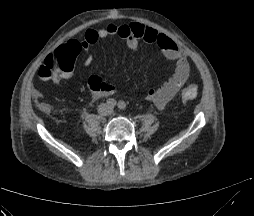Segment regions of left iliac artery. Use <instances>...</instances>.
Listing matches in <instances>:
<instances>
[{"instance_id": "left-iliac-artery-1", "label": "left iliac artery", "mask_w": 254, "mask_h": 216, "mask_svg": "<svg viewBox=\"0 0 254 216\" xmlns=\"http://www.w3.org/2000/svg\"><path fill=\"white\" fill-rule=\"evenodd\" d=\"M118 108H119L120 110H125V108H126V103H125L124 101H120V102L118 103Z\"/></svg>"}]
</instances>
